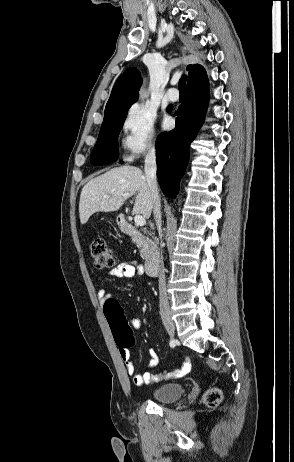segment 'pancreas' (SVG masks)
Here are the masks:
<instances>
[{"mask_svg":"<svg viewBox=\"0 0 294 462\" xmlns=\"http://www.w3.org/2000/svg\"><path fill=\"white\" fill-rule=\"evenodd\" d=\"M133 242L140 249L141 258L146 260L151 256L152 241L148 237L143 238L140 235L133 236Z\"/></svg>","mask_w":294,"mask_h":462,"instance_id":"cf45deb5","label":"pancreas"}]
</instances>
